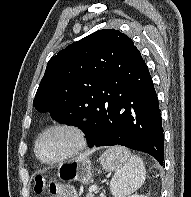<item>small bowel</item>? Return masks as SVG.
Returning <instances> with one entry per match:
<instances>
[{
  "label": "small bowel",
  "mask_w": 191,
  "mask_h": 197,
  "mask_svg": "<svg viewBox=\"0 0 191 197\" xmlns=\"http://www.w3.org/2000/svg\"><path fill=\"white\" fill-rule=\"evenodd\" d=\"M56 197H58V196H56ZM69 197H75L74 193L69 191Z\"/></svg>",
  "instance_id": "1"
}]
</instances>
